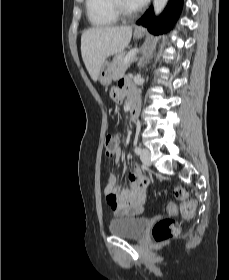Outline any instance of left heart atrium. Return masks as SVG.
Masks as SVG:
<instances>
[{
    "label": "left heart atrium",
    "instance_id": "1",
    "mask_svg": "<svg viewBox=\"0 0 229 280\" xmlns=\"http://www.w3.org/2000/svg\"><path fill=\"white\" fill-rule=\"evenodd\" d=\"M128 1L133 7L140 8L143 5H145L148 0H128Z\"/></svg>",
    "mask_w": 229,
    "mask_h": 280
}]
</instances>
